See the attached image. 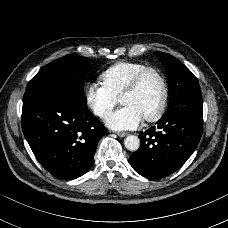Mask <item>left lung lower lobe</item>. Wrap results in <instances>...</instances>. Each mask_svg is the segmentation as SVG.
<instances>
[{"instance_id": "1", "label": "left lung lower lobe", "mask_w": 228, "mask_h": 228, "mask_svg": "<svg viewBox=\"0 0 228 228\" xmlns=\"http://www.w3.org/2000/svg\"><path fill=\"white\" fill-rule=\"evenodd\" d=\"M202 126L203 106H180L167 111L156 127L140 133V148L130 156L133 169L148 179L174 173L196 149Z\"/></svg>"}]
</instances>
